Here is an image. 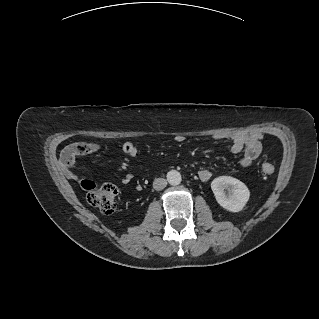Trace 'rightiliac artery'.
Returning a JSON list of instances; mask_svg holds the SVG:
<instances>
[{"mask_svg":"<svg viewBox=\"0 0 319 319\" xmlns=\"http://www.w3.org/2000/svg\"><path fill=\"white\" fill-rule=\"evenodd\" d=\"M167 178L169 179V178H170V175H167Z\"/></svg>","mask_w":319,"mask_h":319,"instance_id":"obj_1","label":"right iliac artery"}]
</instances>
